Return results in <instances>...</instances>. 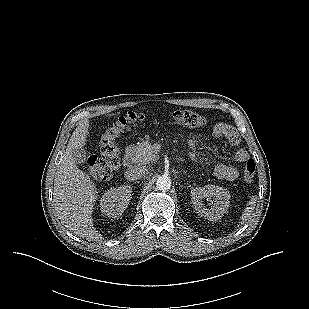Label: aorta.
<instances>
[{
    "instance_id": "762f6f07",
    "label": "aorta",
    "mask_w": 309,
    "mask_h": 309,
    "mask_svg": "<svg viewBox=\"0 0 309 309\" xmlns=\"http://www.w3.org/2000/svg\"><path fill=\"white\" fill-rule=\"evenodd\" d=\"M156 187L158 190L167 191L171 187V179L168 176H161L156 181Z\"/></svg>"
}]
</instances>
